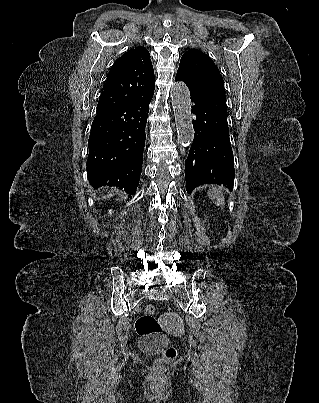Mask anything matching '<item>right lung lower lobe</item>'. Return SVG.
I'll list each match as a JSON object with an SVG mask.
<instances>
[{"label":"right lung lower lobe","mask_w":319,"mask_h":403,"mask_svg":"<svg viewBox=\"0 0 319 403\" xmlns=\"http://www.w3.org/2000/svg\"><path fill=\"white\" fill-rule=\"evenodd\" d=\"M152 97L96 113L86 168L92 186H116L135 193L142 171L145 126Z\"/></svg>","instance_id":"obj_1"}]
</instances>
